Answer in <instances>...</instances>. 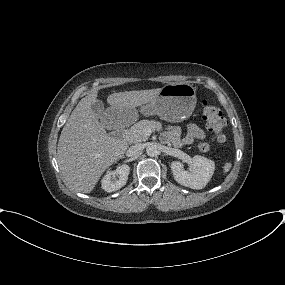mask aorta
I'll return each mask as SVG.
<instances>
[{"label":"aorta","mask_w":285,"mask_h":285,"mask_svg":"<svg viewBox=\"0 0 285 285\" xmlns=\"http://www.w3.org/2000/svg\"><path fill=\"white\" fill-rule=\"evenodd\" d=\"M146 153L148 156L154 157L158 154V149L152 145V146L147 147Z\"/></svg>","instance_id":"762f6f07"}]
</instances>
